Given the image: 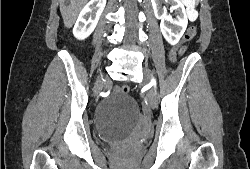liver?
Returning a JSON list of instances; mask_svg holds the SVG:
<instances>
[{
  "mask_svg": "<svg viewBox=\"0 0 250 169\" xmlns=\"http://www.w3.org/2000/svg\"><path fill=\"white\" fill-rule=\"evenodd\" d=\"M60 12L64 20L65 26L71 28L73 26L81 8L88 0H59Z\"/></svg>",
  "mask_w": 250,
  "mask_h": 169,
  "instance_id": "6515ba94",
  "label": "liver"
}]
</instances>
